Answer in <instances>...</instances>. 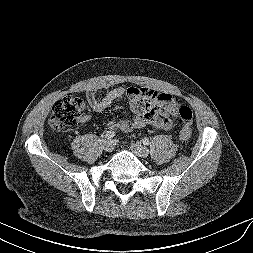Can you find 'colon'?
<instances>
[{"label":"colon","mask_w":253,"mask_h":253,"mask_svg":"<svg viewBox=\"0 0 253 253\" xmlns=\"http://www.w3.org/2000/svg\"><path fill=\"white\" fill-rule=\"evenodd\" d=\"M85 110V101L76 96H64L54 104L49 118V125L54 131H65L76 125ZM192 112L188 107L181 109L180 119L183 128L180 132L182 141H188L191 137L190 124L192 121Z\"/></svg>","instance_id":"1"}]
</instances>
